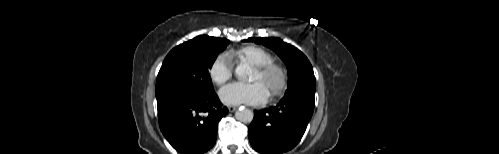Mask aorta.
I'll return each mask as SVG.
<instances>
[{"label":"aorta","mask_w":499,"mask_h":154,"mask_svg":"<svg viewBox=\"0 0 499 154\" xmlns=\"http://www.w3.org/2000/svg\"><path fill=\"white\" fill-rule=\"evenodd\" d=\"M251 68L248 64H240L235 69L236 76L241 80H247L250 76ZM253 112L249 109H239L235 113V118L242 123H250L253 120Z\"/></svg>","instance_id":"aorta-1"}]
</instances>
